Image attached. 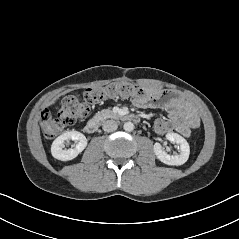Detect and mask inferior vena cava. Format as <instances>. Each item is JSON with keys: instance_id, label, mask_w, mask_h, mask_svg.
Masks as SVG:
<instances>
[{"instance_id": "obj_1", "label": "inferior vena cava", "mask_w": 239, "mask_h": 239, "mask_svg": "<svg viewBox=\"0 0 239 239\" xmlns=\"http://www.w3.org/2000/svg\"><path fill=\"white\" fill-rule=\"evenodd\" d=\"M102 128L105 132H113L118 128V124L114 120H107L103 123Z\"/></svg>"}]
</instances>
